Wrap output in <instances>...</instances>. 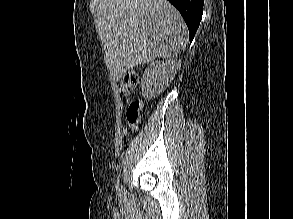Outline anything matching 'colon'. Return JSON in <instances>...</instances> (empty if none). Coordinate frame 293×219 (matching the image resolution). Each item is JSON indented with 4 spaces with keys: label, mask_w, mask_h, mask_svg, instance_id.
<instances>
[{
    "label": "colon",
    "mask_w": 293,
    "mask_h": 219,
    "mask_svg": "<svg viewBox=\"0 0 293 219\" xmlns=\"http://www.w3.org/2000/svg\"><path fill=\"white\" fill-rule=\"evenodd\" d=\"M138 82V73L135 70H129L123 75L119 89L123 94L129 95L137 87ZM141 106L142 104L139 100H134L129 103L125 117L131 125H136L139 122Z\"/></svg>",
    "instance_id": "colon-1"
}]
</instances>
